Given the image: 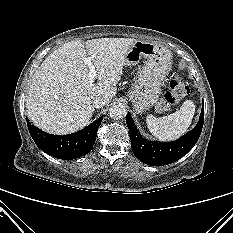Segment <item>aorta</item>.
I'll list each match as a JSON object with an SVG mask.
<instances>
[{"label": "aorta", "mask_w": 233, "mask_h": 233, "mask_svg": "<svg viewBox=\"0 0 233 233\" xmlns=\"http://www.w3.org/2000/svg\"><path fill=\"white\" fill-rule=\"evenodd\" d=\"M127 114V110L123 105H114L109 110V116L113 119H121L125 117Z\"/></svg>", "instance_id": "obj_1"}]
</instances>
